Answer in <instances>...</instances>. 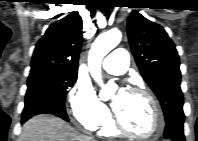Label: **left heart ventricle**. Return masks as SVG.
<instances>
[{"label": "left heart ventricle", "instance_id": "obj_1", "mask_svg": "<svg viewBox=\"0 0 198 141\" xmlns=\"http://www.w3.org/2000/svg\"><path fill=\"white\" fill-rule=\"evenodd\" d=\"M115 112L121 123L137 134L146 135L154 129L152 105L145 96L128 93Z\"/></svg>", "mask_w": 198, "mask_h": 141}]
</instances>
